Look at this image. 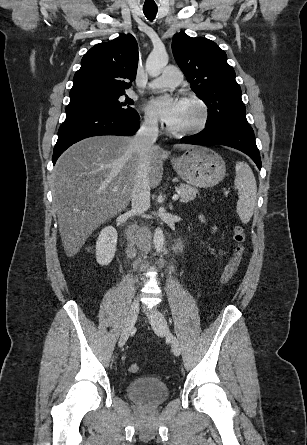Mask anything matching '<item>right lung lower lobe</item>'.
<instances>
[{
  "label": "right lung lower lobe",
  "mask_w": 307,
  "mask_h": 445,
  "mask_svg": "<svg viewBox=\"0 0 307 445\" xmlns=\"http://www.w3.org/2000/svg\"><path fill=\"white\" fill-rule=\"evenodd\" d=\"M139 128V115L127 116L116 112L81 111L66 115L58 131L52 161L72 144L91 136L134 134Z\"/></svg>",
  "instance_id": "1"
}]
</instances>
